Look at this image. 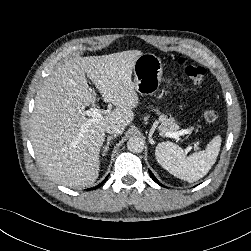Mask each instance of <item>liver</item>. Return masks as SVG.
Masks as SVG:
<instances>
[{"label": "liver", "instance_id": "1", "mask_svg": "<svg viewBox=\"0 0 251 251\" xmlns=\"http://www.w3.org/2000/svg\"><path fill=\"white\" fill-rule=\"evenodd\" d=\"M142 54L129 50L70 58L45 79L35 97L30 137L38 163L53 182L76 188L96 181L106 126L125 128L134 119L139 98L131 76ZM86 76L103 100L116 106L90 125L84 112L96 101V92Z\"/></svg>", "mask_w": 251, "mask_h": 251}]
</instances>
